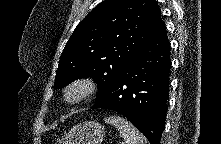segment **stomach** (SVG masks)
I'll return each instance as SVG.
<instances>
[{"label": "stomach", "instance_id": "1", "mask_svg": "<svg viewBox=\"0 0 221 144\" xmlns=\"http://www.w3.org/2000/svg\"><path fill=\"white\" fill-rule=\"evenodd\" d=\"M104 126L95 121H86L71 128L60 140L61 144H100L104 138Z\"/></svg>", "mask_w": 221, "mask_h": 144}]
</instances>
